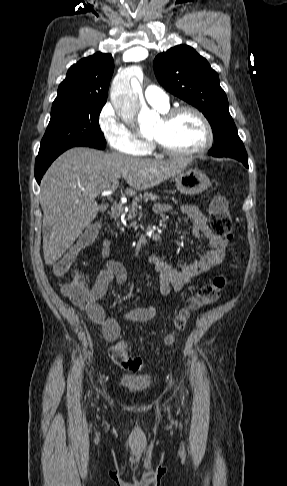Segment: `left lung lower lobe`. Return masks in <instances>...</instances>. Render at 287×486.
Returning a JSON list of instances; mask_svg holds the SVG:
<instances>
[{"label":"left lung lower lobe","mask_w":287,"mask_h":486,"mask_svg":"<svg viewBox=\"0 0 287 486\" xmlns=\"http://www.w3.org/2000/svg\"><path fill=\"white\" fill-rule=\"evenodd\" d=\"M237 160L241 161L246 167H248V158H238Z\"/></svg>","instance_id":"0a47b994"}]
</instances>
